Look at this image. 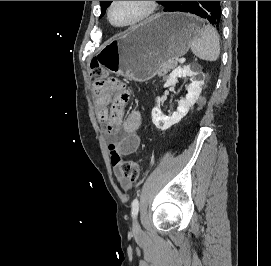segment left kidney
<instances>
[{"label":"left kidney","mask_w":271,"mask_h":266,"mask_svg":"<svg viewBox=\"0 0 271 266\" xmlns=\"http://www.w3.org/2000/svg\"><path fill=\"white\" fill-rule=\"evenodd\" d=\"M202 75L200 68L197 66L178 67L171 72L166 82L167 86L176 84L178 78L185 76L191 77L192 82L187 87L188 93L185 99H181L178 102L177 110L173 112L171 116H164L162 114L160 111V104H157L152 109V122L156 128L165 131L186 116L201 94L202 85L204 84V78Z\"/></svg>","instance_id":"obj_1"}]
</instances>
